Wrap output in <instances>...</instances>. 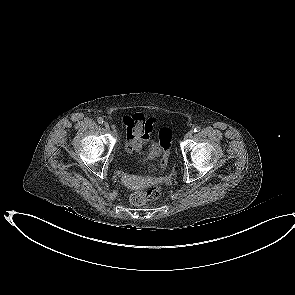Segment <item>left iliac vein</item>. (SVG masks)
<instances>
[{
  "label": "left iliac vein",
  "mask_w": 295,
  "mask_h": 295,
  "mask_svg": "<svg viewBox=\"0 0 295 295\" xmlns=\"http://www.w3.org/2000/svg\"><path fill=\"white\" fill-rule=\"evenodd\" d=\"M192 134H193V131H192V130H191V131H188V132L186 133V135H185V138H186V139L191 138V137H192Z\"/></svg>",
  "instance_id": "4c4485c4"
}]
</instances>
